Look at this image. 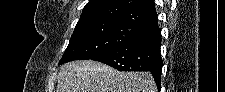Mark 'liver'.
I'll list each match as a JSON object with an SVG mask.
<instances>
[{
	"label": "liver",
	"mask_w": 225,
	"mask_h": 92,
	"mask_svg": "<svg viewBox=\"0 0 225 92\" xmlns=\"http://www.w3.org/2000/svg\"><path fill=\"white\" fill-rule=\"evenodd\" d=\"M56 92H157L149 72H120L86 60L62 65Z\"/></svg>",
	"instance_id": "liver-1"
}]
</instances>
